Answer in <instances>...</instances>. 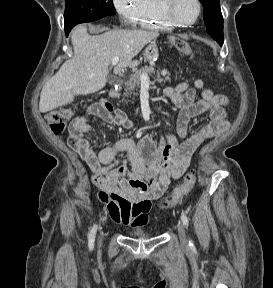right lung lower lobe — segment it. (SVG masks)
<instances>
[{
    "label": "right lung lower lobe",
    "mask_w": 273,
    "mask_h": 288,
    "mask_svg": "<svg viewBox=\"0 0 273 288\" xmlns=\"http://www.w3.org/2000/svg\"><path fill=\"white\" fill-rule=\"evenodd\" d=\"M65 32H66V35L68 36V34H69V32H70V31H68V30H65Z\"/></svg>",
    "instance_id": "right-lung-lower-lobe-1"
}]
</instances>
